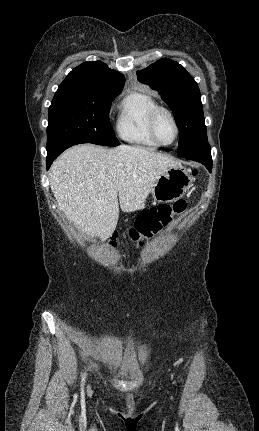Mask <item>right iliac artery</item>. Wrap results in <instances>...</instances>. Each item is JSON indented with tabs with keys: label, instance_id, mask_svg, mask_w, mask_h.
Here are the masks:
<instances>
[{
	"label": "right iliac artery",
	"instance_id": "obj_1",
	"mask_svg": "<svg viewBox=\"0 0 259 431\" xmlns=\"http://www.w3.org/2000/svg\"><path fill=\"white\" fill-rule=\"evenodd\" d=\"M84 381H85V373L83 374V376H82V387H83V385H84Z\"/></svg>",
	"mask_w": 259,
	"mask_h": 431
}]
</instances>
